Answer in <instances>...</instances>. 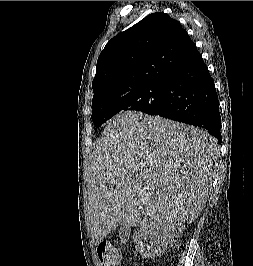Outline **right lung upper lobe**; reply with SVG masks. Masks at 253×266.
<instances>
[{
  "mask_svg": "<svg viewBox=\"0 0 253 266\" xmlns=\"http://www.w3.org/2000/svg\"><path fill=\"white\" fill-rule=\"evenodd\" d=\"M199 56L177 20L165 13L150 14L106 44L97 60L92 105L165 81Z\"/></svg>",
  "mask_w": 253,
  "mask_h": 266,
  "instance_id": "obj_1",
  "label": "right lung upper lobe"
}]
</instances>
